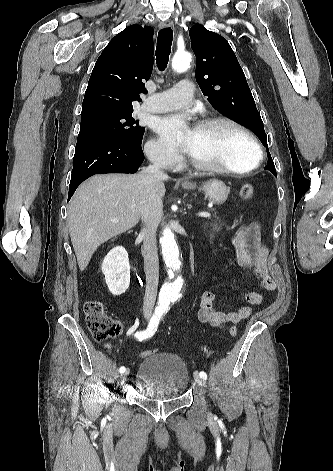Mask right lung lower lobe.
<instances>
[{
	"label": "right lung lower lobe",
	"mask_w": 333,
	"mask_h": 471,
	"mask_svg": "<svg viewBox=\"0 0 333 471\" xmlns=\"http://www.w3.org/2000/svg\"><path fill=\"white\" fill-rule=\"evenodd\" d=\"M143 161L141 145L106 135L79 137L68 201L76 188L90 176L99 173H135Z\"/></svg>",
	"instance_id": "1"
}]
</instances>
